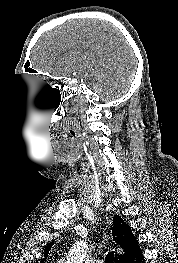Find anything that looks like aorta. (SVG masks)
I'll return each instance as SVG.
<instances>
[{
  "label": "aorta",
  "instance_id": "obj_1",
  "mask_svg": "<svg viewBox=\"0 0 178 263\" xmlns=\"http://www.w3.org/2000/svg\"><path fill=\"white\" fill-rule=\"evenodd\" d=\"M88 246L84 241H78L73 246L65 263H83Z\"/></svg>",
  "mask_w": 178,
  "mask_h": 263
}]
</instances>
